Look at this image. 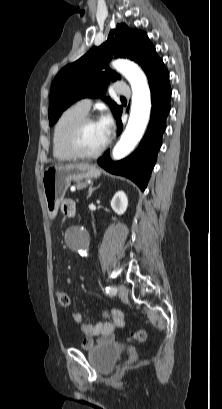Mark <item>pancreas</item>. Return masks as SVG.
I'll return each instance as SVG.
<instances>
[{
    "label": "pancreas",
    "mask_w": 222,
    "mask_h": 409,
    "mask_svg": "<svg viewBox=\"0 0 222 409\" xmlns=\"http://www.w3.org/2000/svg\"><path fill=\"white\" fill-rule=\"evenodd\" d=\"M84 186H86V183H85V182H78V183H77V188H78V189H81V188H83Z\"/></svg>",
    "instance_id": "obj_1"
}]
</instances>
